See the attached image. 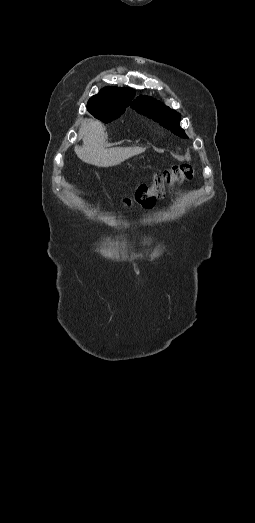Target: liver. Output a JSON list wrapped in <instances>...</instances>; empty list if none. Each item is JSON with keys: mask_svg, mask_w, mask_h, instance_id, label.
I'll return each instance as SVG.
<instances>
[{"mask_svg": "<svg viewBox=\"0 0 255 523\" xmlns=\"http://www.w3.org/2000/svg\"><path fill=\"white\" fill-rule=\"evenodd\" d=\"M83 146H75V152L86 164L93 166H117L132 156L142 154L145 148H104L107 140L105 130L98 120H84L79 128Z\"/></svg>", "mask_w": 255, "mask_h": 523, "instance_id": "obj_1", "label": "liver"}]
</instances>
